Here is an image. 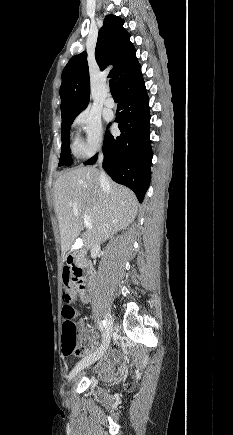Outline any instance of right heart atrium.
I'll return each mask as SVG.
<instances>
[{
	"label": "right heart atrium",
	"instance_id": "1",
	"mask_svg": "<svg viewBox=\"0 0 233 435\" xmlns=\"http://www.w3.org/2000/svg\"><path fill=\"white\" fill-rule=\"evenodd\" d=\"M74 126L83 131L76 141L75 151L79 156H91L103 145V127L100 116L92 109H85L74 120Z\"/></svg>",
	"mask_w": 233,
	"mask_h": 435
}]
</instances>
